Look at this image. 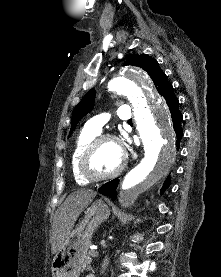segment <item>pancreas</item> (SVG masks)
Segmentation results:
<instances>
[{
    "instance_id": "obj_1",
    "label": "pancreas",
    "mask_w": 221,
    "mask_h": 277,
    "mask_svg": "<svg viewBox=\"0 0 221 277\" xmlns=\"http://www.w3.org/2000/svg\"><path fill=\"white\" fill-rule=\"evenodd\" d=\"M95 255H96V253L93 250H89L87 252V257H86V259H85V261L83 263V268L84 269H88V270L91 269V262H92V258L91 257L95 256Z\"/></svg>"
}]
</instances>
